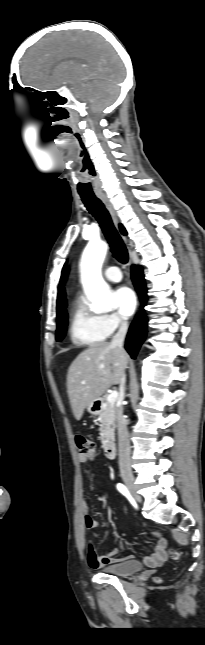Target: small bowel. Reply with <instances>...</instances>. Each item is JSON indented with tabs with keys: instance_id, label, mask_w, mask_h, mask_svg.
<instances>
[{
	"instance_id": "c3829d8e",
	"label": "small bowel",
	"mask_w": 205,
	"mask_h": 645,
	"mask_svg": "<svg viewBox=\"0 0 205 645\" xmlns=\"http://www.w3.org/2000/svg\"><path fill=\"white\" fill-rule=\"evenodd\" d=\"M79 461L81 463H84L86 462V458L80 456ZM82 508L84 512H87L89 510V506L86 501L83 502ZM96 526L97 524L93 519H91L90 517H86V527L88 529H93ZM166 547H167L166 538L160 537L158 540V544L155 547L153 553L145 556L143 558V562L150 567H157L162 565L167 560V557H168ZM131 558L132 556L119 557V549L117 548H114L109 553L100 556L97 554L92 544L88 545L87 562L91 568H100L109 564L117 563L122 560H127Z\"/></svg>"
}]
</instances>
